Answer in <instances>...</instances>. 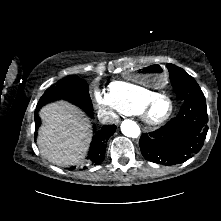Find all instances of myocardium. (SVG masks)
Returning <instances> with one entry per match:
<instances>
[{
  "label": "myocardium",
  "mask_w": 221,
  "mask_h": 221,
  "mask_svg": "<svg viewBox=\"0 0 221 221\" xmlns=\"http://www.w3.org/2000/svg\"><path fill=\"white\" fill-rule=\"evenodd\" d=\"M161 99H165L170 103V110L166 115L160 118L152 117L150 113L151 109L154 106V104ZM174 109H175L174 102L169 95L156 93L154 96H152L151 98H149L148 100L142 103L139 109V113L142 115L146 123L151 125H157L166 122L174 113Z\"/></svg>",
  "instance_id": "myocardium-1"
}]
</instances>
